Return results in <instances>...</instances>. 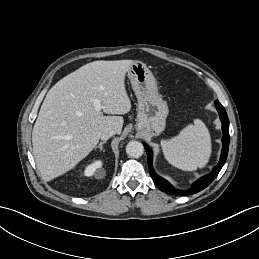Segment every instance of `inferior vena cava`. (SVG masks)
<instances>
[{
    "mask_svg": "<svg viewBox=\"0 0 259 259\" xmlns=\"http://www.w3.org/2000/svg\"><path fill=\"white\" fill-rule=\"evenodd\" d=\"M115 134H116V132L113 129H107L101 134L100 138H101V140L105 141V140H108L110 137H112Z\"/></svg>",
    "mask_w": 259,
    "mask_h": 259,
    "instance_id": "602c4592",
    "label": "inferior vena cava"
}]
</instances>
